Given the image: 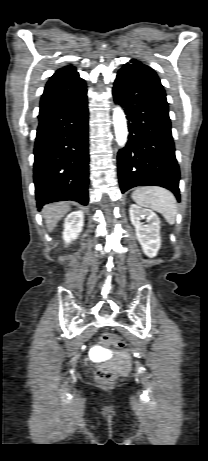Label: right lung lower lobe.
Wrapping results in <instances>:
<instances>
[{"instance_id": "98d812e1", "label": "right lung lower lobe", "mask_w": 208, "mask_h": 461, "mask_svg": "<svg viewBox=\"0 0 208 461\" xmlns=\"http://www.w3.org/2000/svg\"><path fill=\"white\" fill-rule=\"evenodd\" d=\"M86 93L76 101L39 112L33 168L39 209L62 200L88 203Z\"/></svg>"}]
</instances>
